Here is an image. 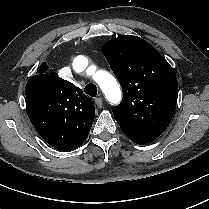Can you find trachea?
<instances>
[{"label": "trachea", "instance_id": "1", "mask_svg": "<svg viewBox=\"0 0 209 209\" xmlns=\"http://www.w3.org/2000/svg\"><path fill=\"white\" fill-rule=\"evenodd\" d=\"M84 91L87 95H89L91 97H96V95H97V87H96V85H94L92 83L86 85Z\"/></svg>", "mask_w": 209, "mask_h": 209}]
</instances>
